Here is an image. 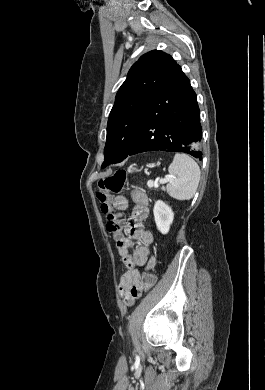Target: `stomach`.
Segmentation results:
<instances>
[{"label": "stomach", "instance_id": "obj_1", "mask_svg": "<svg viewBox=\"0 0 265 390\" xmlns=\"http://www.w3.org/2000/svg\"><path fill=\"white\" fill-rule=\"evenodd\" d=\"M135 171H139V170H137V169L134 168V167H130V168L128 169V172H130V173L135 172Z\"/></svg>", "mask_w": 265, "mask_h": 390}]
</instances>
